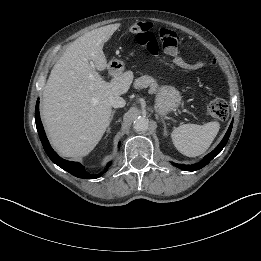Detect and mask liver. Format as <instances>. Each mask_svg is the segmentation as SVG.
<instances>
[{
  "label": "liver",
  "instance_id": "1",
  "mask_svg": "<svg viewBox=\"0 0 261 261\" xmlns=\"http://www.w3.org/2000/svg\"><path fill=\"white\" fill-rule=\"evenodd\" d=\"M111 34L110 28L102 27L77 38L56 62L44 87L43 123L62 156L83 157L94 149L111 122L110 97L126 93L132 83L131 72L106 82L96 71L107 67L102 49Z\"/></svg>",
  "mask_w": 261,
  "mask_h": 261
}]
</instances>
